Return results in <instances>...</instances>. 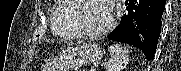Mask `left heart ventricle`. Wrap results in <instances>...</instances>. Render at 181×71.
<instances>
[{"mask_svg": "<svg viewBox=\"0 0 181 71\" xmlns=\"http://www.w3.org/2000/svg\"><path fill=\"white\" fill-rule=\"evenodd\" d=\"M81 10L78 14L80 25L88 31L102 30L110 21V10L102 0H80Z\"/></svg>", "mask_w": 181, "mask_h": 71, "instance_id": "1", "label": "left heart ventricle"}]
</instances>
